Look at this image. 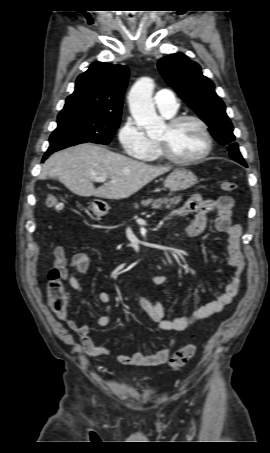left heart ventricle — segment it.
Listing matches in <instances>:
<instances>
[{"instance_id":"1","label":"left heart ventricle","mask_w":270,"mask_h":453,"mask_svg":"<svg viewBox=\"0 0 270 453\" xmlns=\"http://www.w3.org/2000/svg\"><path fill=\"white\" fill-rule=\"evenodd\" d=\"M157 140L168 142L171 152L181 158L197 156L206 144L200 126L192 121L184 122L174 129L166 125Z\"/></svg>"}]
</instances>
